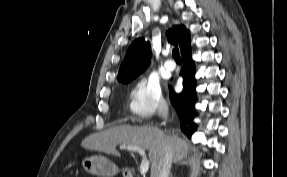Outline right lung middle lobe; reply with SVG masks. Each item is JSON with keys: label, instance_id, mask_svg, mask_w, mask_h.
Returning a JSON list of instances; mask_svg holds the SVG:
<instances>
[{"label": "right lung middle lobe", "instance_id": "obj_1", "mask_svg": "<svg viewBox=\"0 0 287 177\" xmlns=\"http://www.w3.org/2000/svg\"><path fill=\"white\" fill-rule=\"evenodd\" d=\"M131 80H128V81H124L123 83H128V82H130Z\"/></svg>", "mask_w": 287, "mask_h": 177}]
</instances>
